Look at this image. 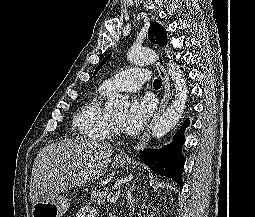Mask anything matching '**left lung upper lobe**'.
<instances>
[{"label": "left lung upper lobe", "mask_w": 255, "mask_h": 217, "mask_svg": "<svg viewBox=\"0 0 255 217\" xmlns=\"http://www.w3.org/2000/svg\"><path fill=\"white\" fill-rule=\"evenodd\" d=\"M149 40L152 43L165 46L167 44V35L165 29L159 25L157 22H152L148 31ZM111 55L106 56L98 67L95 69L93 76L100 70V68L105 64V62L110 58Z\"/></svg>", "instance_id": "left-lung-upper-lobe-1"}]
</instances>
